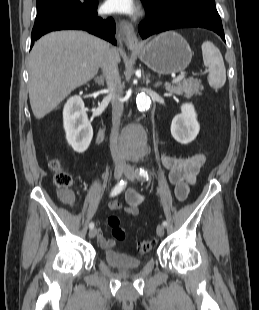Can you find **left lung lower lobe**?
<instances>
[{
	"instance_id": "0a47b994",
	"label": "left lung lower lobe",
	"mask_w": 259,
	"mask_h": 310,
	"mask_svg": "<svg viewBox=\"0 0 259 310\" xmlns=\"http://www.w3.org/2000/svg\"><path fill=\"white\" fill-rule=\"evenodd\" d=\"M146 9V19L139 25L142 39L166 30L201 27L214 31L225 41L221 18L216 7L192 6L163 17L154 16L147 6Z\"/></svg>"
}]
</instances>
